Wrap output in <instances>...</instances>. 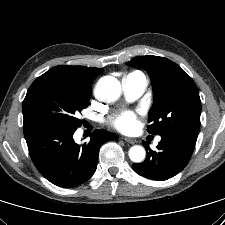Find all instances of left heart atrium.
<instances>
[{"instance_id":"left-heart-atrium-1","label":"left heart atrium","mask_w":225,"mask_h":225,"mask_svg":"<svg viewBox=\"0 0 225 225\" xmlns=\"http://www.w3.org/2000/svg\"><path fill=\"white\" fill-rule=\"evenodd\" d=\"M137 124V114L131 110L122 111L113 118V126L123 132L133 130Z\"/></svg>"}]
</instances>
